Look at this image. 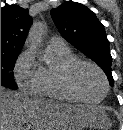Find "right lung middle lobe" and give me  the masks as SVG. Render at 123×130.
<instances>
[{"label":"right lung middle lobe","mask_w":123,"mask_h":130,"mask_svg":"<svg viewBox=\"0 0 123 130\" xmlns=\"http://www.w3.org/2000/svg\"><path fill=\"white\" fill-rule=\"evenodd\" d=\"M20 52L14 53H1V86L17 89V85L14 81V69L15 62Z\"/></svg>","instance_id":"1"}]
</instances>
